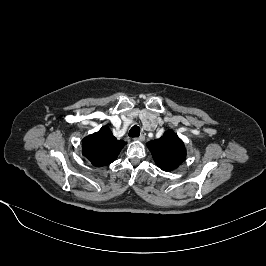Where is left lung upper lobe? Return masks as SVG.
I'll return each mask as SVG.
<instances>
[{"mask_svg":"<svg viewBox=\"0 0 266 266\" xmlns=\"http://www.w3.org/2000/svg\"><path fill=\"white\" fill-rule=\"evenodd\" d=\"M147 146L158 167L167 172L176 169L186 157L183 141L171 130L159 139L148 142Z\"/></svg>","mask_w":266,"mask_h":266,"instance_id":"obj_1","label":"left lung upper lobe"}]
</instances>
